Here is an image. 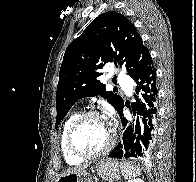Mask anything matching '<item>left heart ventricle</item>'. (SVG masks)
Listing matches in <instances>:
<instances>
[{"instance_id":"left-heart-ventricle-1","label":"left heart ventricle","mask_w":196,"mask_h":182,"mask_svg":"<svg viewBox=\"0 0 196 182\" xmlns=\"http://www.w3.org/2000/svg\"><path fill=\"white\" fill-rule=\"evenodd\" d=\"M108 139V123L104 119L91 117L76 130L74 144L84 153H95L106 145Z\"/></svg>"}]
</instances>
